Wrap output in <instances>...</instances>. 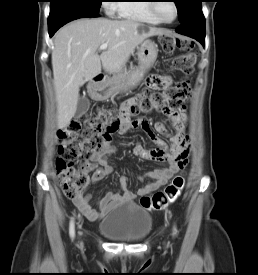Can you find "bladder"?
I'll use <instances>...</instances> for the list:
<instances>
[{
  "label": "bladder",
  "instance_id": "obj_1",
  "mask_svg": "<svg viewBox=\"0 0 258 275\" xmlns=\"http://www.w3.org/2000/svg\"><path fill=\"white\" fill-rule=\"evenodd\" d=\"M152 228V216L134 203L112 209L98 225V231L112 241L136 243L144 240Z\"/></svg>",
  "mask_w": 258,
  "mask_h": 275
}]
</instances>
